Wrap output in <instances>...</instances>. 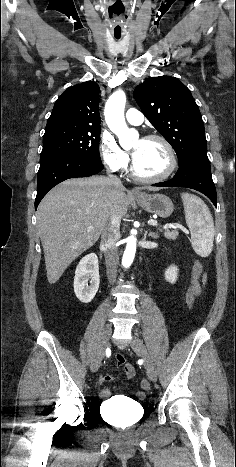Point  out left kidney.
Instances as JSON below:
<instances>
[{
    "mask_svg": "<svg viewBox=\"0 0 236 467\" xmlns=\"http://www.w3.org/2000/svg\"><path fill=\"white\" fill-rule=\"evenodd\" d=\"M164 276L167 282L174 284L177 280L178 268L174 265H171L168 269H166Z\"/></svg>",
    "mask_w": 236,
    "mask_h": 467,
    "instance_id": "left-kidney-1",
    "label": "left kidney"
}]
</instances>
